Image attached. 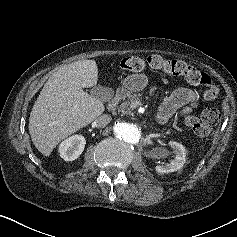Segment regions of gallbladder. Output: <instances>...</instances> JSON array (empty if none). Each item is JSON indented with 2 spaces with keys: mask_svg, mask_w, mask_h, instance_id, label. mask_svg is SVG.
Listing matches in <instances>:
<instances>
[{
  "mask_svg": "<svg viewBox=\"0 0 237 237\" xmlns=\"http://www.w3.org/2000/svg\"><path fill=\"white\" fill-rule=\"evenodd\" d=\"M91 94L103 101H108L112 98L111 90L102 86L94 87L93 89H91Z\"/></svg>",
  "mask_w": 237,
  "mask_h": 237,
  "instance_id": "obj_1",
  "label": "gallbladder"
}]
</instances>
